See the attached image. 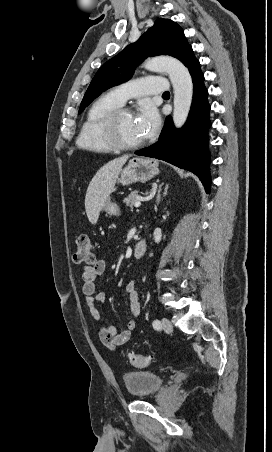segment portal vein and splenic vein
I'll use <instances>...</instances> for the list:
<instances>
[{"label": "portal vein and splenic vein", "mask_w": 272, "mask_h": 452, "mask_svg": "<svg viewBox=\"0 0 272 452\" xmlns=\"http://www.w3.org/2000/svg\"><path fill=\"white\" fill-rule=\"evenodd\" d=\"M134 206H135L136 208L140 207V206H141V201H136L135 204H134Z\"/></svg>", "instance_id": "1"}]
</instances>
